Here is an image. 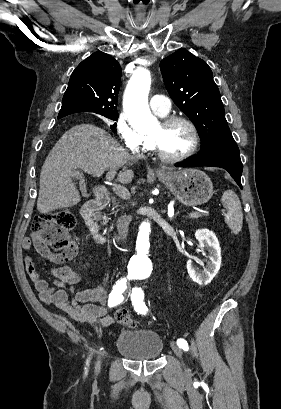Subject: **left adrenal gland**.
<instances>
[{"mask_svg":"<svg viewBox=\"0 0 281 409\" xmlns=\"http://www.w3.org/2000/svg\"><path fill=\"white\" fill-rule=\"evenodd\" d=\"M178 213H176V215H174V217H177ZM174 217H172V219H174Z\"/></svg>","mask_w":281,"mask_h":409,"instance_id":"1","label":"left adrenal gland"}]
</instances>
